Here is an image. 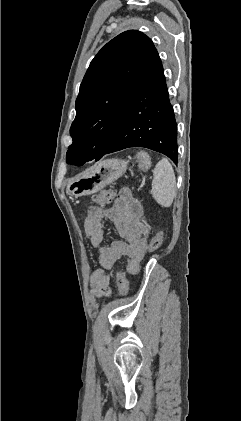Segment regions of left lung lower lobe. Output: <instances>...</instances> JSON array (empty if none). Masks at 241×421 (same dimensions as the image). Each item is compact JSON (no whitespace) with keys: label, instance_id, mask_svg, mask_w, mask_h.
I'll list each match as a JSON object with an SVG mask.
<instances>
[{"label":"left lung lower lobe","instance_id":"obj_1","mask_svg":"<svg viewBox=\"0 0 241 421\" xmlns=\"http://www.w3.org/2000/svg\"><path fill=\"white\" fill-rule=\"evenodd\" d=\"M129 147L148 148L178 162L177 123L156 49L143 70L118 134L105 154Z\"/></svg>","mask_w":241,"mask_h":421}]
</instances>
